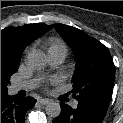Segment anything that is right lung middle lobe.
<instances>
[{"instance_id":"obj_1","label":"right lung middle lobe","mask_w":123,"mask_h":123,"mask_svg":"<svg viewBox=\"0 0 123 123\" xmlns=\"http://www.w3.org/2000/svg\"><path fill=\"white\" fill-rule=\"evenodd\" d=\"M11 74L1 73V95L7 93V85L9 83Z\"/></svg>"}]
</instances>
